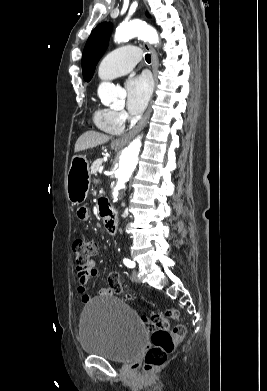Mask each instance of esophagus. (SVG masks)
<instances>
[{
	"label": "esophagus",
	"mask_w": 267,
	"mask_h": 391,
	"mask_svg": "<svg viewBox=\"0 0 267 391\" xmlns=\"http://www.w3.org/2000/svg\"><path fill=\"white\" fill-rule=\"evenodd\" d=\"M144 48L149 50L150 54H151V61H152V70H153V73H154V76H155V79H156V72H157V69H158V57H157V54L154 50V48L152 46H150L149 44L147 43H144L143 44ZM150 113H151V107L149 106V108L147 109L145 115L143 116V118L141 119V121L131 130L129 131L127 134H125L124 136H122L121 138H118L114 141V145L116 146H124L126 145L133 137L135 134H137L147 123V120L150 116Z\"/></svg>",
	"instance_id": "esophagus-1"
}]
</instances>
